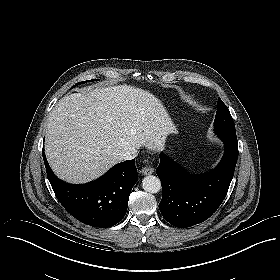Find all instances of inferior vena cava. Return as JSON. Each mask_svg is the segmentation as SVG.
Segmentation results:
<instances>
[{
  "instance_id": "1",
  "label": "inferior vena cava",
  "mask_w": 280,
  "mask_h": 280,
  "mask_svg": "<svg viewBox=\"0 0 280 280\" xmlns=\"http://www.w3.org/2000/svg\"><path fill=\"white\" fill-rule=\"evenodd\" d=\"M138 155V151L135 148L129 149L120 155L122 160H131Z\"/></svg>"
}]
</instances>
